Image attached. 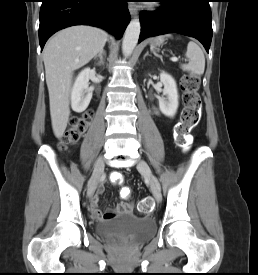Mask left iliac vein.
<instances>
[{
  "label": "left iliac vein",
  "mask_w": 258,
  "mask_h": 275,
  "mask_svg": "<svg viewBox=\"0 0 258 275\" xmlns=\"http://www.w3.org/2000/svg\"><path fill=\"white\" fill-rule=\"evenodd\" d=\"M137 169L149 180L151 190L155 199L159 202L162 199L160 187L158 181L153 175L149 165L144 160H139Z\"/></svg>",
  "instance_id": "left-iliac-vein-1"
}]
</instances>
